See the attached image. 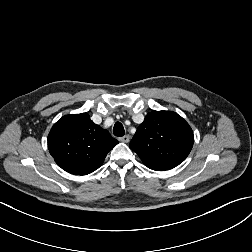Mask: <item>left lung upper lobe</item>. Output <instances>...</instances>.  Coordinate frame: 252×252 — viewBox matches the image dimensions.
Segmentation results:
<instances>
[{
	"label": "left lung upper lobe",
	"mask_w": 252,
	"mask_h": 252,
	"mask_svg": "<svg viewBox=\"0 0 252 252\" xmlns=\"http://www.w3.org/2000/svg\"><path fill=\"white\" fill-rule=\"evenodd\" d=\"M194 136L189 124L172 111L148 113L130 142V148L150 168L154 164H180L190 153Z\"/></svg>",
	"instance_id": "left-lung-upper-lobe-1"
}]
</instances>
